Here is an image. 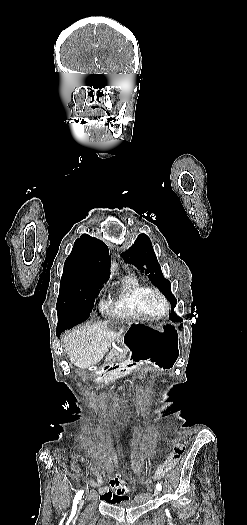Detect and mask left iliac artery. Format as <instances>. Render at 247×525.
Instances as JSON below:
<instances>
[{"label": "left iliac artery", "instance_id": "44dca946", "mask_svg": "<svg viewBox=\"0 0 247 525\" xmlns=\"http://www.w3.org/2000/svg\"><path fill=\"white\" fill-rule=\"evenodd\" d=\"M156 488H157V489H158L159 491H161V489H162V486H161V484H160V483H158V484L156 485Z\"/></svg>", "mask_w": 247, "mask_h": 525}]
</instances>
